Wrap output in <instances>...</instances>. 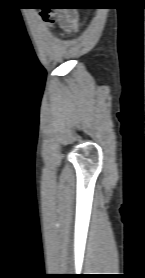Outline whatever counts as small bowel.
<instances>
[{
  "label": "small bowel",
  "mask_w": 145,
  "mask_h": 278,
  "mask_svg": "<svg viewBox=\"0 0 145 278\" xmlns=\"http://www.w3.org/2000/svg\"><path fill=\"white\" fill-rule=\"evenodd\" d=\"M69 15V14H62V16Z\"/></svg>",
  "instance_id": "1"
}]
</instances>
